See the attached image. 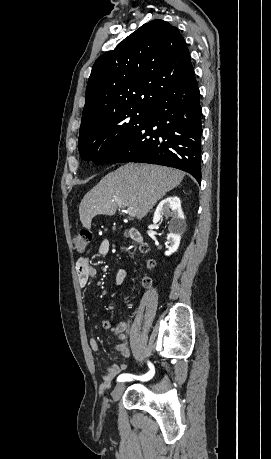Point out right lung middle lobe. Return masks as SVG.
<instances>
[{
    "label": "right lung middle lobe",
    "mask_w": 271,
    "mask_h": 459,
    "mask_svg": "<svg viewBox=\"0 0 271 459\" xmlns=\"http://www.w3.org/2000/svg\"><path fill=\"white\" fill-rule=\"evenodd\" d=\"M149 109L142 105L81 123L78 149L82 159L107 163L148 117Z\"/></svg>",
    "instance_id": "obj_1"
}]
</instances>
